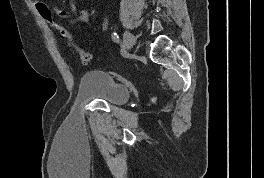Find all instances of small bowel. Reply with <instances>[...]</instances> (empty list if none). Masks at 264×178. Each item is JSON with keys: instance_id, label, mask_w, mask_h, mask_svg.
<instances>
[{"instance_id": "c3829d8e", "label": "small bowel", "mask_w": 264, "mask_h": 178, "mask_svg": "<svg viewBox=\"0 0 264 178\" xmlns=\"http://www.w3.org/2000/svg\"><path fill=\"white\" fill-rule=\"evenodd\" d=\"M53 13L62 18H72V23H86L89 20L87 9H78L75 0H67L66 8L50 7Z\"/></svg>"}]
</instances>
